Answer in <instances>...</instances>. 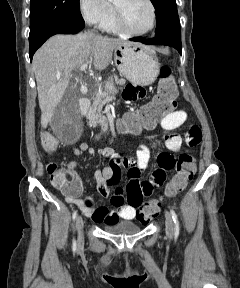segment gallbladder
Returning a JSON list of instances; mask_svg holds the SVG:
<instances>
[{
	"label": "gallbladder",
	"instance_id": "bac80fb5",
	"mask_svg": "<svg viewBox=\"0 0 240 288\" xmlns=\"http://www.w3.org/2000/svg\"><path fill=\"white\" fill-rule=\"evenodd\" d=\"M78 95L71 90H67L62 102L55 109L51 121L58 123L60 121L67 120L78 113Z\"/></svg>",
	"mask_w": 240,
	"mask_h": 288
}]
</instances>
